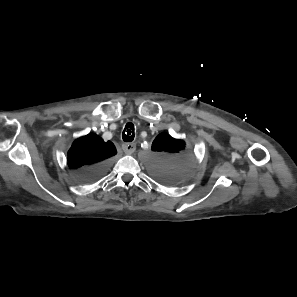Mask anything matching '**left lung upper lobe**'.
<instances>
[{"instance_id":"obj_1","label":"left lung upper lobe","mask_w":297,"mask_h":297,"mask_svg":"<svg viewBox=\"0 0 297 297\" xmlns=\"http://www.w3.org/2000/svg\"><path fill=\"white\" fill-rule=\"evenodd\" d=\"M185 143L166 133L159 134L152 143L149 157L152 175L165 183H176L186 177L190 155L184 152Z\"/></svg>"}]
</instances>
